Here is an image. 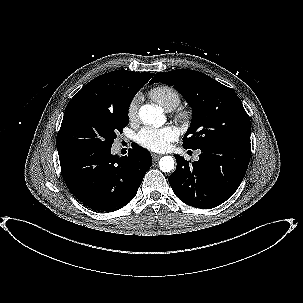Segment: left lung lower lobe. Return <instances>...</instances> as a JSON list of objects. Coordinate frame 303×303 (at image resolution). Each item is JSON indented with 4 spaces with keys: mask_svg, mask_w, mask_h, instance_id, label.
Here are the masks:
<instances>
[{
    "mask_svg": "<svg viewBox=\"0 0 303 303\" xmlns=\"http://www.w3.org/2000/svg\"><path fill=\"white\" fill-rule=\"evenodd\" d=\"M250 147L245 142L208 143L199 148V160L193 163L174 155L177 168L168 178L173 192L196 208L210 209L222 204L235 193L245 176Z\"/></svg>",
    "mask_w": 303,
    "mask_h": 303,
    "instance_id": "0a47b994",
    "label": "left lung lower lobe"
}]
</instances>
